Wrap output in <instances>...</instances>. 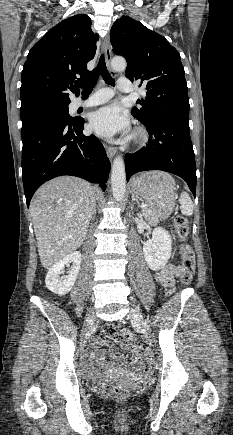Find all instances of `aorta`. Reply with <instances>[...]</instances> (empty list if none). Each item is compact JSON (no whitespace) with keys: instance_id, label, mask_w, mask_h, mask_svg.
<instances>
[{"instance_id":"762f6f07","label":"aorta","mask_w":233,"mask_h":435,"mask_svg":"<svg viewBox=\"0 0 233 435\" xmlns=\"http://www.w3.org/2000/svg\"><path fill=\"white\" fill-rule=\"evenodd\" d=\"M111 65L116 71H123L127 66L126 61L123 58H114ZM111 186L115 201L121 202L126 191L125 164L121 155H118L113 161L111 170Z\"/></svg>"}]
</instances>
